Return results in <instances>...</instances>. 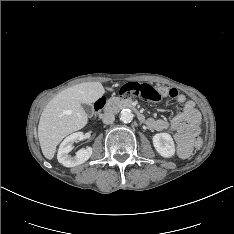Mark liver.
Instances as JSON below:
<instances>
[{
    "mask_svg": "<svg viewBox=\"0 0 234 234\" xmlns=\"http://www.w3.org/2000/svg\"><path fill=\"white\" fill-rule=\"evenodd\" d=\"M104 93L100 82H85L63 90L48 102L38 125V138L45 158L52 159L62 139L87 124L88 116L82 104L90 105Z\"/></svg>",
    "mask_w": 234,
    "mask_h": 234,
    "instance_id": "obj_1",
    "label": "liver"
}]
</instances>
